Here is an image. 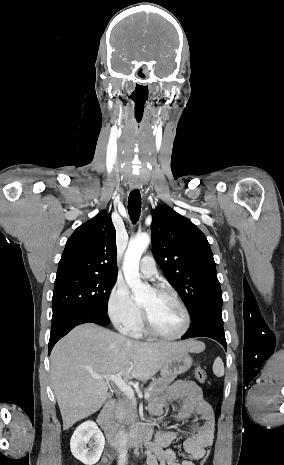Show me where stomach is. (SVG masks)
Wrapping results in <instances>:
<instances>
[{
    "mask_svg": "<svg viewBox=\"0 0 284 465\" xmlns=\"http://www.w3.org/2000/svg\"><path fill=\"white\" fill-rule=\"evenodd\" d=\"M193 361L189 355V353H175L172 355L170 359H168L167 363L161 367L162 375H169V373H185L188 371L190 367H192Z\"/></svg>",
    "mask_w": 284,
    "mask_h": 465,
    "instance_id": "obj_1",
    "label": "stomach"
}]
</instances>
